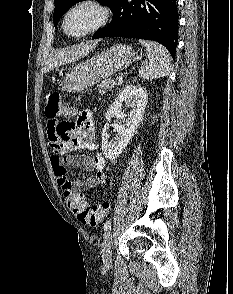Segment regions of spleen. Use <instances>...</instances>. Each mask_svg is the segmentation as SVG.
<instances>
[{
	"label": "spleen",
	"mask_w": 233,
	"mask_h": 294,
	"mask_svg": "<svg viewBox=\"0 0 233 294\" xmlns=\"http://www.w3.org/2000/svg\"><path fill=\"white\" fill-rule=\"evenodd\" d=\"M139 43L146 48L149 60L140 68L139 76L146 80L168 76L171 71V63L164 47L153 41L139 40Z\"/></svg>",
	"instance_id": "3e777b00"
}]
</instances>
